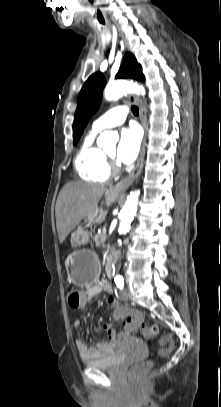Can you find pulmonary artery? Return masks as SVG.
Returning a JSON list of instances; mask_svg holds the SVG:
<instances>
[{
	"label": "pulmonary artery",
	"mask_w": 221,
	"mask_h": 407,
	"mask_svg": "<svg viewBox=\"0 0 221 407\" xmlns=\"http://www.w3.org/2000/svg\"><path fill=\"white\" fill-rule=\"evenodd\" d=\"M128 114L126 106H116L97 118L92 125V131L100 132L104 129L119 126L124 123Z\"/></svg>",
	"instance_id": "pulmonary-artery-1"
}]
</instances>
